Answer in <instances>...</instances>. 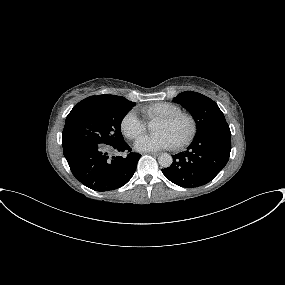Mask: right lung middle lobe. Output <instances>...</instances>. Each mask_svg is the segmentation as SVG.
I'll use <instances>...</instances> for the list:
<instances>
[{
  "label": "right lung middle lobe",
  "mask_w": 285,
  "mask_h": 285,
  "mask_svg": "<svg viewBox=\"0 0 285 285\" xmlns=\"http://www.w3.org/2000/svg\"><path fill=\"white\" fill-rule=\"evenodd\" d=\"M133 106L134 102L122 99L73 108L66 118L62 144L92 143L111 146L124 141L121 122Z\"/></svg>",
  "instance_id": "obj_1"
}]
</instances>
